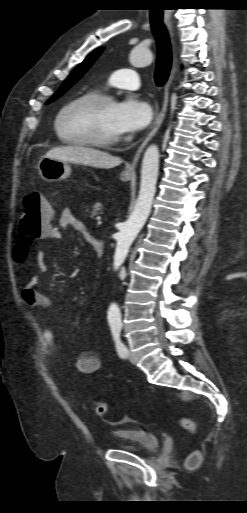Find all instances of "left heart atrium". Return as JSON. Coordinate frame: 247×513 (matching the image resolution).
<instances>
[{
  "mask_svg": "<svg viewBox=\"0 0 247 513\" xmlns=\"http://www.w3.org/2000/svg\"><path fill=\"white\" fill-rule=\"evenodd\" d=\"M151 118L150 105L134 95L116 104L114 119L120 135L141 131L150 123Z\"/></svg>",
  "mask_w": 247,
  "mask_h": 513,
  "instance_id": "1",
  "label": "left heart atrium"
}]
</instances>
